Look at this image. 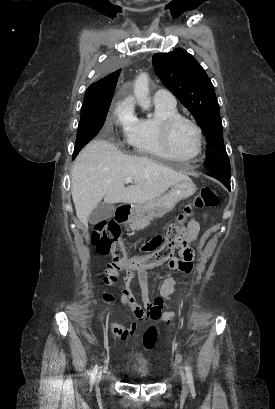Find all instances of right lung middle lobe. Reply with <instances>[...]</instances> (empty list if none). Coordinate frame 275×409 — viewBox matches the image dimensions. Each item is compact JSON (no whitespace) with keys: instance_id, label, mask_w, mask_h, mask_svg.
<instances>
[{"instance_id":"obj_1","label":"right lung middle lobe","mask_w":275,"mask_h":409,"mask_svg":"<svg viewBox=\"0 0 275 409\" xmlns=\"http://www.w3.org/2000/svg\"><path fill=\"white\" fill-rule=\"evenodd\" d=\"M106 63L107 64L100 65L101 73H121L122 67L121 64H117L118 60L116 57H108ZM110 104L111 101L83 103L73 159H75L79 151L98 134L106 120Z\"/></svg>"}]
</instances>
